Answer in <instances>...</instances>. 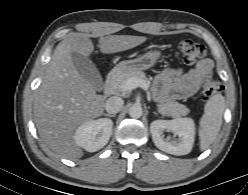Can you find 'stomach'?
<instances>
[{"instance_id":"stomach-1","label":"stomach","mask_w":248,"mask_h":195,"mask_svg":"<svg viewBox=\"0 0 248 195\" xmlns=\"http://www.w3.org/2000/svg\"><path fill=\"white\" fill-rule=\"evenodd\" d=\"M160 56L161 51L159 49L150 50L135 59L121 61L114 67L113 72L116 74H123L147 70L156 64Z\"/></svg>"}]
</instances>
